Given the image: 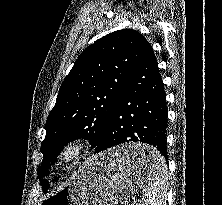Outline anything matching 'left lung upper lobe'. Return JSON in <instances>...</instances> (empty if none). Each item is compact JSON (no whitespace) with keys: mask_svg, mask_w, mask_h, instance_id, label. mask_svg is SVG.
Masks as SVG:
<instances>
[{"mask_svg":"<svg viewBox=\"0 0 222 205\" xmlns=\"http://www.w3.org/2000/svg\"><path fill=\"white\" fill-rule=\"evenodd\" d=\"M148 41L132 29L112 32L87 47L64 79L46 124L41 144L46 175L49 162L77 138L89 140L94 148L102 136L119 94ZM44 168H46L44 170ZM43 192L49 188L40 180Z\"/></svg>","mask_w":222,"mask_h":205,"instance_id":"1","label":"left lung upper lobe"}]
</instances>
